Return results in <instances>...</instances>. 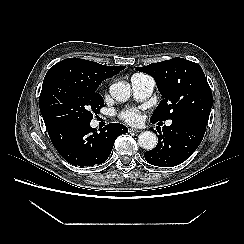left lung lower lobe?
Returning <instances> with one entry per match:
<instances>
[{"label": "left lung lower lobe", "mask_w": 244, "mask_h": 244, "mask_svg": "<svg viewBox=\"0 0 244 244\" xmlns=\"http://www.w3.org/2000/svg\"><path fill=\"white\" fill-rule=\"evenodd\" d=\"M206 125L190 117L172 119L170 126L158 131L157 146L144 153L146 161L159 167H173L184 162L201 143Z\"/></svg>", "instance_id": "1"}]
</instances>
